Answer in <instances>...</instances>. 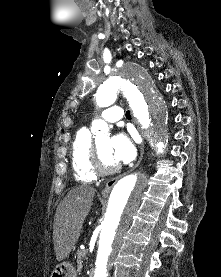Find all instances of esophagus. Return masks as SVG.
<instances>
[{"instance_id": "34e87169", "label": "esophagus", "mask_w": 221, "mask_h": 277, "mask_svg": "<svg viewBox=\"0 0 221 277\" xmlns=\"http://www.w3.org/2000/svg\"><path fill=\"white\" fill-rule=\"evenodd\" d=\"M141 135H142L143 138H145V135H144L143 132H141ZM143 155H144V143H143V145H142V147H141V152H140L139 160H138L137 164L134 166L133 169H135L136 167L139 166V164H140V162H141V160H142V158H143ZM120 177H121V176H118V177H116V178H112V179H110L109 181H107L105 187H104L103 190L101 191V196H102L103 198H106V197L109 195L111 189L113 188V186L116 184V182L119 180Z\"/></svg>"}]
</instances>
